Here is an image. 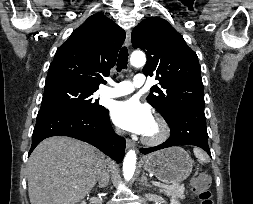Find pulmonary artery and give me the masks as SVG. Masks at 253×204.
Masks as SVG:
<instances>
[{"label": "pulmonary artery", "mask_w": 253, "mask_h": 204, "mask_svg": "<svg viewBox=\"0 0 253 204\" xmlns=\"http://www.w3.org/2000/svg\"><path fill=\"white\" fill-rule=\"evenodd\" d=\"M146 79L142 73H138L133 77L132 81L125 80L119 83L110 82L111 86H107L100 91V94L107 98H117L132 93L135 88L145 85Z\"/></svg>", "instance_id": "pulmonary-artery-1"}]
</instances>
